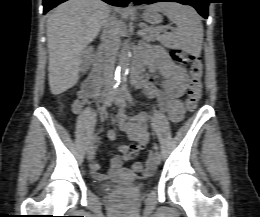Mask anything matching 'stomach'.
Returning <instances> with one entry per match:
<instances>
[{
	"instance_id": "0dacf381",
	"label": "stomach",
	"mask_w": 260,
	"mask_h": 217,
	"mask_svg": "<svg viewBox=\"0 0 260 217\" xmlns=\"http://www.w3.org/2000/svg\"><path fill=\"white\" fill-rule=\"evenodd\" d=\"M142 18L152 25H156L162 21L161 16L152 7L143 11Z\"/></svg>"
}]
</instances>
